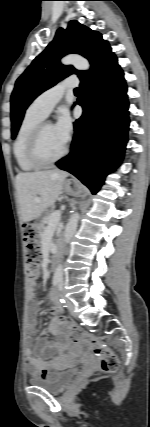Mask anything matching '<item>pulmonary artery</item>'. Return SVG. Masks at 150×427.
<instances>
[{
    "label": "pulmonary artery",
    "instance_id": "obj_1",
    "mask_svg": "<svg viewBox=\"0 0 150 427\" xmlns=\"http://www.w3.org/2000/svg\"><path fill=\"white\" fill-rule=\"evenodd\" d=\"M77 86V78H67L66 80L56 84L55 86L41 93L32 102L30 107L45 118L52 111L54 106L61 100L64 92L66 90L73 89Z\"/></svg>",
    "mask_w": 150,
    "mask_h": 427
}]
</instances>
